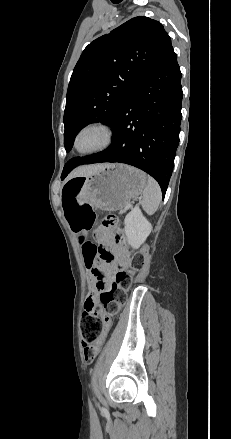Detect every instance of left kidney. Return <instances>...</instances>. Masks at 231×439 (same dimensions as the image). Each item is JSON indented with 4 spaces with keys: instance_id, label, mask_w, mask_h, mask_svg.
Here are the masks:
<instances>
[{
    "instance_id": "left-kidney-1",
    "label": "left kidney",
    "mask_w": 231,
    "mask_h": 439,
    "mask_svg": "<svg viewBox=\"0 0 231 439\" xmlns=\"http://www.w3.org/2000/svg\"><path fill=\"white\" fill-rule=\"evenodd\" d=\"M125 234L128 244L138 249L152 231V225L143 216L141 210L135 207L124 220Z\"/></svg>"
}]
</instances>
